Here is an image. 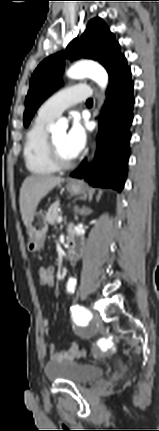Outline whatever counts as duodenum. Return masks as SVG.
Here are the masks:
<instances>
[{
    "instance_id": "1",
    "label": "duodenum",
    "mask_w": 159,
    "mask_h": 431,
    "mask_svg": "<svg viewBox=\"0 0 159 431\" xmlns=\"http://www.w3.org/2000/svg\"><path fill=\"white\" fill-rule=\"evenodd\" d=\"M84 242L81 237L77 236L74 231L69 232L68 242V261H74L82 254Z\"/></svg>"
}]
</instances>
